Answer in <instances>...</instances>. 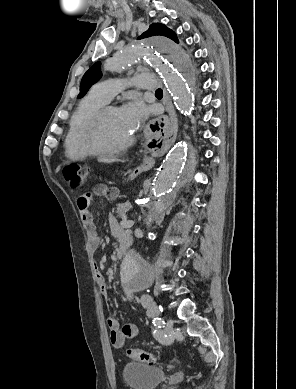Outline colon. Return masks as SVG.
Listing matches in <instances>:
<instances>
[{
    "instance_id": "5ec220e1",
    "label": "colon",
    "mask_w": 296,
    "mask_h": 389,
    "mask_svg": "<svg viewBox=\"0 0 296 389\" xmlns=\"http://www.w3.org/2000/svg\"><path fill=\"white\" fill-rule=\"evenodd\" d=\"M63 175L69 186L73 189H79L83 186L88 168L79 164H71L64 168ZM127 355L133 360L153 365L157 362V356L154 353L147 352L137 348L127 350Z\"/></svg>"
}]
</instances>
